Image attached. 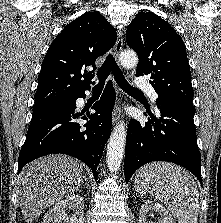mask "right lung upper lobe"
Wrapping results in <instances>:
<instances>
[{
	"instance_id": "obj_1",
	"label": "right lung upper lobe",
	"mask_w": 221,
	"mask_h": 223,
	"mask_svg": "<svg viewBox=\"0 0 221 223\" xmlns=\"http://www.w3.org/2000/svg\"><path fill=\"white\" fill-rule=\"evenodd\" d=\"M116 38L114 27L99 12L85 13L68 24L46 53L35 105L70 100L89 90L95 60L114 46ZM88 66L93 71L87 72Z\"/></svg>"
}]
</instances>
